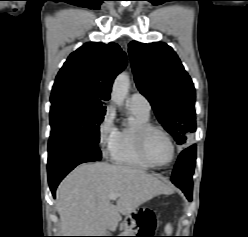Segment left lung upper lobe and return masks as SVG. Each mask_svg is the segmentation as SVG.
Segmentation results:
<instances>
[{
    "instance_id": "left-lung-upper-lobe-1",
    "label": "left lung upper lobe",
    "mask_w": 248,
    "mask_h": 237,
    "mask_svg": "<svg viewBox=\"0 0 248 237\" xmlns=\"http://www.w3.org/2000/svg\"><path fill=\"white\" fill-rule=\"evenodd\" d=\"M129 56L139 91L178 144L196 130L195 88L173 49L165 43L132 41Z\"/></svg>"
}]
</instances>
